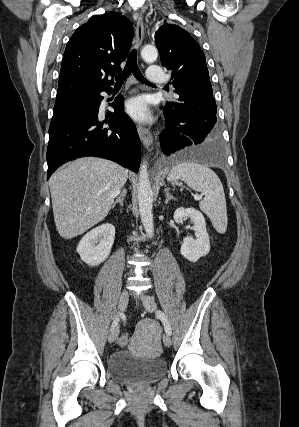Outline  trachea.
I'll return each mask as SVG.
<instances>
[{"mask_svg":"<svg viewBox=\"0 0 299 427\" xmlns=\"http://www.w3.org/2000/svg\"><path fill=\"white\" fill-rule=\"evenodd\" d=\"M133 73V75L135 76V78L142 82V83H148L151 84L149 81H147L142 73L139 70V67L137 65V51L136 50H132L130 52L129 58L127 60L126 66L123 70V72L121 74H119L118 76H116V84H122L124 83V81L129 77V75Z\"/></svg>","mask_w":299,"mask_h":427,"instance_id":"3493384b","label":"trachea"}]
</instances>
